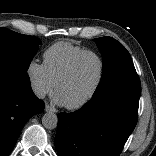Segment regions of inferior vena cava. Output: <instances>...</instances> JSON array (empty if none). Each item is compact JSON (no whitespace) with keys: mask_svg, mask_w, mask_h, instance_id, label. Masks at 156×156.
<instances>
[{"mask_svg":"<svg viewBox=\"0 0 156 156\" xmlns=\"http://www.w3.org/2000/svg\"><path fill=\"white\" fill-rule=\"evenodd\" d=\"M32 90H33L34 94H35L38 98H40V99L44 98L45 95H46L45 87L42 86V85L39 84V83L33 82V83H32Z\"/></svg>","mask_w":156,"mask_h":156,"instance_id":"1","label":"inferior vena cava"}]
</instances>
